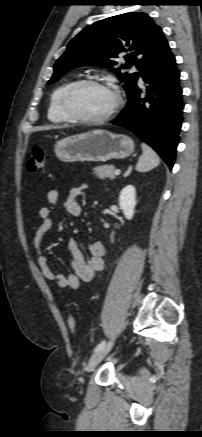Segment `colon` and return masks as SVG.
I'll return each instance as SVG.
<instances>
[{
    "mask_svg": "<svg viewBox=\"0 0 202 437\" xmlns=\"http://www.w3.org/2000/svg\"><path fill=\"white\" fill-rule=\"evenodd\" d=\"M45 155L44 150L40 146H34L28 161V169L31 172L41 170L44 167ZM68 328L71 332H75L77 328L76 319L73 315H69L67 319Z\"/></svg>",
    "mask_w": 202,
    "mask_h": 437,
    "instance_id": "colon-1",
    "label": "colon"
}]
</instances>
